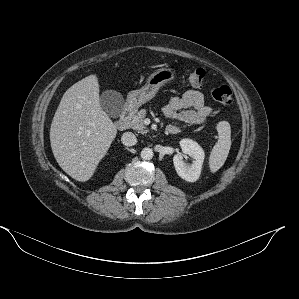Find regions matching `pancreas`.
Masks as SVG:
<instances>
[{"instance_id":"cf45deb5","label":"pancreas","mask_w":299,"mask_h":299,"mask_svg":"<svg viewBox=\"0 0 299 299\" xmlns=\"http://www.w3.org/2000/svg\"><path fill=\"white\" fill-rule=\"evenodd\" d=\"M146 113L147 111L145 109H142L139 112H137L130 121V128L138 131L141 134L147 133L148 130L146 129V126L144 124Z\"/></svg>"}]
</instances>
